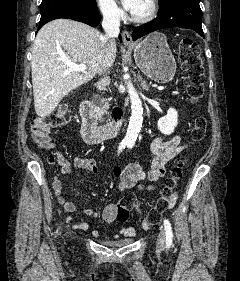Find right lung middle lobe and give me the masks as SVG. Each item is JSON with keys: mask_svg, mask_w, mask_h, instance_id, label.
Here are the masks:
<instances>
[{"mask_svg": "<svg viewBox=\"0 0 240 281\" xmlns=\"http://www.w3.org/2000/svg\"><path fill=\"white\" fill-rule=\"evenodd\" d=\"M59 5H71L90 10L97 9L96 0H42L41 12Z\"/></svg>", "mask_w": 240, "mask_h": 281, "instance_id": "dd1d6c3e", "label": "right lung middle lobe"}]
</instances>
